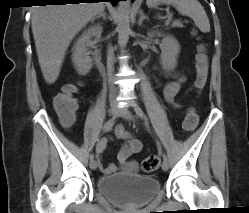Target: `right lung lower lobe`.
<instances>
[{"instance_id":"1","label":"right lung lower lobe","mask_w":249,"mask_h":213,"mask_svg":"<svg viewBox=\"0 0 249 213\" xmlns=\"http://www.w3.org/2000/svg\"><path fill=\"white\" fill-rule=\"evenodd\" d=\"M43 3H54V4H66V3H78L81 1H94V0H44ZM98 1V0H96ZM102 1H108L111 2L114 6L117 4L119 0H102ZM93 3V2H92Z\"/></svg>"}]
</instances>
